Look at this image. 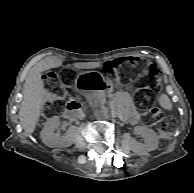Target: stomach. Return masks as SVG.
<instances>
[{
  "label": "stomach",
  "mask_w": 194,
  "mask_h": 193,
  "mask_svg": "<svg viewBox=\"0 0 194 193\" xmlns=\"http://www.w3.org/2000/svg\"><path fill=\"white\" fill-rule=\"evenodd\" d=\"M113 87L114 83L97 71L80 73L75 79V89L82 94H105Z\"/></svg>",
  "instance_id": "obj_1"
}]
</instances>
